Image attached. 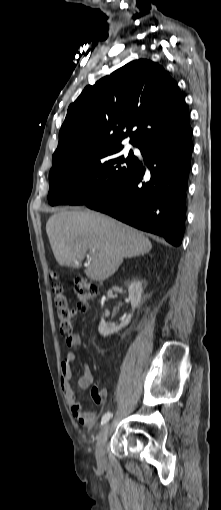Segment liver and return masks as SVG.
<instances>
[{"label":"liver","instance_id":"1","mask_svg":"<svg viewBox=\"0 0 221 510\" xmlns=\"http://www.w3.org/2000/svg\"><path fill=\"white\" fill-rule=\"evenodd\" d=\"M46 232L56 261L69 266L89 253L86 276L104 281L119 268L124 258L148 253L150 240L136 229L94 211L62 210L46 223ZM95 249V252H92Z\"/></svg>","mask_w":221,"mask_h":510}]
</instances>
